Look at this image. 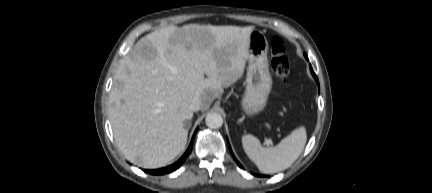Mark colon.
Masks as SVG:
<instances>
[{
  "label": "colon",
  "instance_id": "obj_1",
  "mask_svg": "<svg viewBox=\"0 0 432 193\" xmlns=\"http://www.w3.org/2000/svg\"><path fill=\"white\" fill-rule=\"evenodd\" d=\"M270 67L280 82L286 83L288 81L290 63L283 42L278 37H274L271 42Z\"/></svg>",
  "mask_w": 432,
  "mask_h": 193
}]
</instances>
